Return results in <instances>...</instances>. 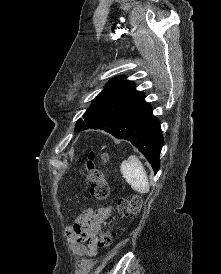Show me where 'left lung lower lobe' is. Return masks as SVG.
<instances>
[{"label": "left lung lower lobe", "mask_w": 221, "mask_h": 274, "mask_svg": "<svg viewBox=\"0 0 221 274\" xmlns=\"http://www.w3.org/2000/svg\"><path fill=\"white\" fill-rule=\"evenodd\" d=\"M95 122L86 129L104 130L118 139L130 141L159 170V154L163 146L160 123L152 114L143 93L135 99L108 102L92 109Z\"/></svg>", "instance_id": "1"}]
</instances>
